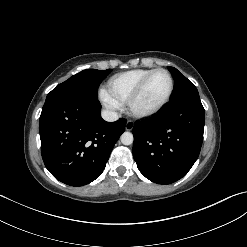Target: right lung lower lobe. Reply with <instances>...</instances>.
<instances>
[{"instance_id":"obj_1","label":"right lung lower lobe","mask_w":247,"mask_h":247,"mask_svg":"<svg viewBox=\"0 0 247 247\" xmlns=\"http://www.w3.org/2000/svg\"><path fill=\"white\" fill-rule=\"evenodd\" d=\"M100 110L98 99H46L39 123L41 154L46 168L59 181L83 186L102 174L126 121L106 122Z\"/></svg>"}]
</instances>
